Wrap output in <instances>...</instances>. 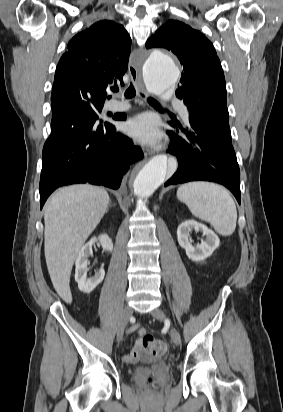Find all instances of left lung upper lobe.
I'll list each match as a JSON object with an SVG mask.
<instances>
[{
	"instance_id": "obj_1",
	"label": "left lung upper lobe",
	"mask_w": 283,
	"mask_h": 412,
	"mask_svg": "<svg viewBox=\"0 0 283 412\" xmlns=\"http://www.w3.org/2000/svg\"><path fill=\"white\" fill-rule=\"evenodd\" d=\"M153 47L171 50L183 65L176 96L187 106L189 121L231 142L225 78L213 44L199 31L170 20L147 40L146 48Z\"/></svg>"
}]
</instances>
